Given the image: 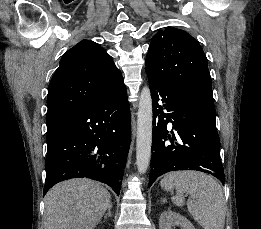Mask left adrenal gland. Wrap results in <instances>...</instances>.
Instances as JSON below:
<instances>
[{"mask_svg": "<svg viewBox=\"0 0 261 229\" xmlns=\"http://www.w3.org/2000/svg\"><path fill=\"white\" fill-rule=\"evenodd\" d=\"M161 203H167L166 199H162Z\"/></svg>", "mask_w": 261, "mask_h": 229, "instance_id": "obj_1", "label": "left adrenal gland"}]
</instances>
